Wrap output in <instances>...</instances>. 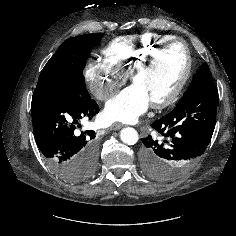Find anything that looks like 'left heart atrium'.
<instances>
[{"mask_svg": "<svg viewBox=\"0 0 236 236\" xmlns=\"http://www.w3.org/2000/svg\"><path fill=\"white\" fill-rule=\"evenodd\" d=\"M147 94L136 84L111 98L103 111L105 122H134L150 105Z\"/></svg>", "mask_w": 236, "mask_h": 236, "instance_id": "obj_1", "label": "left heart atrium"}]
</instances>
